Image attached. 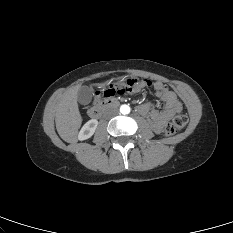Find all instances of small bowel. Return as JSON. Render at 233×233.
Returning <instances> with one entry per match:
<instances>
[{"label": "small bowel", "mask_w": 233, "mask_h": 233, "mask_svg": "<svg viewBox=\"0 0 233 233\" xmlns=\"http://www.w3.org/2000/svg\"><path fill=\"white\" fill-rule=\"evenodd\" d=\"M146 85L144 82H136L133 91L138 92ZM155 95L164 104L162 110H156L151 103H144L138 106L137 111L140 115L148 118L152 130L160 133L168 120L182 111V104L175 93L164 83L157 81L153 84Z\"/></svg>", "instance_id": "1"}]
</instances>
